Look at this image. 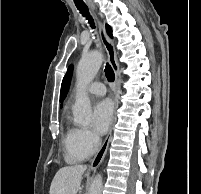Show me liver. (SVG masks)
Instances as JSON below:
<instances>
[{"label":"liver","instance_id":"6515ba94","mask_svg":"<svg viewBox=\"0 0 201 194\" xmlns=\"http://www.w3.org/2000/svg\"><path fill=\"white\" fill-rule=\"evenodd\" d=\"M86 165L62 167L55 174L49 194H77Z\"/></svg>","mask_w":201,"mask_h":194}]
</instances>
